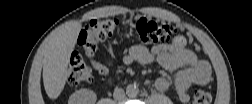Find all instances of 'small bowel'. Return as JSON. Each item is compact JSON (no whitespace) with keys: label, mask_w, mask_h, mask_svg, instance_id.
Returning <instances> with one entry per match:
<instances>
[{"label":"small bowel","mask_w":252,"mask_h":104,"mask_svg":"<svg viewBox=\"0 0 252 104\" xmlns=\"http://www.w3.org/2000/svg\"><path fill=\"white\" fill-rule=\"evenodd\" d=\"M153 61L164 69L174 71L179 69L175 76L174 86L178 99L181 102L189 100L188 89L192 85H204L209 82L211 69L206 61L199 60L194 52L187 48L184 36H177L171 43L157 44L151 49L142 45L133 46L124 57L127 65L133 63L150 64ZM92 67L101 75L108 73L107 65L92 59ZM155 87L160 92L170 88V81L166 77H159Z\"/></svg>","instance_id":"c3829d8e"}]
</instances>
